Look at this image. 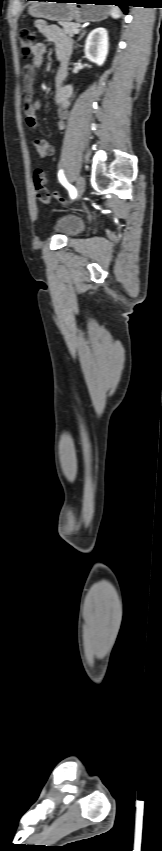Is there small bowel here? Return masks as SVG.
<instances>
[{"label": "small bowel", "mask_w": 162, "mask_h": 851, "mask_svg": "<svg viewBox=\"0 0 162 851\" xmlns=\"http://www.w3.org/2000/svg\"><path fill=\"white\" fill-rule=\"evenodd\" d=\"M35 26L55 46L58 69L55 75L54 103L58 114L57 128L64 130L69 116V107L73 92L70 85L64 84L72 50V41L58 26L48 24L44 20H37ZM45 53L46 45L44 43H37L33 50L31 63L25 66L23 88V100L25 103L24 117L27 127L31 130L37 128V113L41 109L40 102L34 100L33 80L36 71L43 64ZM31 143L41 158H48L54 154L53 145L46 139L34 137L31 139Z\"/></svg>", "instance_id": "obj_1"}]
</instances>
